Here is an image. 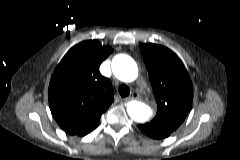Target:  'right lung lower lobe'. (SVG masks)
Returning <instances> with one entry per match:
<instances>
[{
	"instance_id": "right-lung-lower-lobe-1",
	"label": "right lung lower lobe",
	"mask_w": 240,
	"mask_h": 160,
	"mask_svg": "<svg viewBox=\"0 0 240 160\" xmlns=\"http://www.w3.org/2000/svg\"><path fill=\"white\" fill-rule=\"evenodd\" d=\"M97 126L93 127V128H90V129H87L81 133H79L77 136H84V135H87L88 133H90L92 130H94Z\"/></svg>"
}]
</instances>
